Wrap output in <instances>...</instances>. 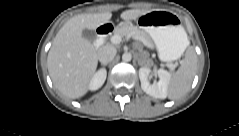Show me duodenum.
Returning <instances> with one entry per match:
<instances>
[{"instance_id": "obj_1", "label": "duodenum", "mask_w": 239, "mask_h": 136, "mask_svg": "<svg viewBox=\"0 0 239 136\" xmlns=\"http://www.w3.org/2000/svg\"><path fill=\"white\" fill-rule=\"evenodd\" d=\"M115 27L112 23L101 25L97 28V37L95 39V47H99L105 41L106 37L114 31Z\"/></svg>"}]
</instances>
